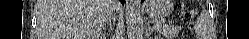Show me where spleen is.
<instances>
[{
  "label": "spleen",
  "instance_id": "obj_1",
  "mask_svg": "<svg viewBox=\"0 0 249 39\" xmlns=\"http://www.w3.org/2000/svg\"><path fill=\"white\" fill-rule=\"evenodd\" d=\"M194 28L197 33V37H201V39H209L210 18L205 9H203L200 16L197 18Z\"/></svg>",
  "mask_w": 249,
  "mask_h": 39
}]
</instances>
